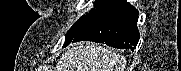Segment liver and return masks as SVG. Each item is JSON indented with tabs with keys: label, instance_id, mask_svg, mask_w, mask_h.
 Wrapping results in <instances>:
<instances>
[{
	"label": "liver",
	"instance_id": "liver-1",
	"mask_svg": "<svg viewBox=\"0 0 181 71\" xmlns=\"http://www.w3.org/2000/svg\"><path fill=\"white\" fill-rule=\"evenodd\" d=\"M124 56L95 43L80 42L68 48L57 71H123Z\"/></svg>",
	"mask_w": 181,
	"mask_h": 71
}]
</instances>
